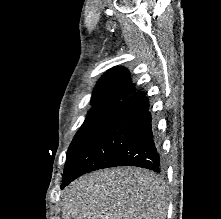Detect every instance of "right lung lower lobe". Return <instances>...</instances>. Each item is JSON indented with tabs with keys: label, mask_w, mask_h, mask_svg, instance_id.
<instances>
[{
	"label": "right lung lower lobe",
	"mask_w": 221,
	"mask_h": 219,
	"mask_svg": "<svg viewBox=\"0 0 221 219\" xmlns=\"http://www.w3.org/2000/svg\"><path fill=\"white\" fill-rule=\"evenodd\" d=\"M114 166L162 170L159 136L143 92L122 100L72 152L65 163L61 188L82 174Z\"/></svg>",
	"instance_id": "right-lung-lower-lobe-1"
}]
</instances>
